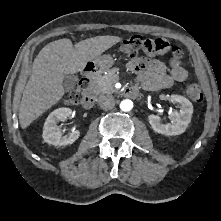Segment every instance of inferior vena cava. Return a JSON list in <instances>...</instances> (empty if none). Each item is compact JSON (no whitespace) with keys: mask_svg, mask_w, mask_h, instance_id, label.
Segmentation results:
<instances>
[{"mask_svg":"<svg viewBox=\"0 0 221 221\" xmlns=\"http://www.w3.org/2000/svg\"><path fill=\"white\" fill-rule=\"evenodd\" d=\"M99 106L104 110H110L115 106V100L110 95H101L98 98Z\"/></svg>","mask_w":221,"mask_h":221,"instance_id":"obj_1","label":"inferior vena cava"}]
</instances>
